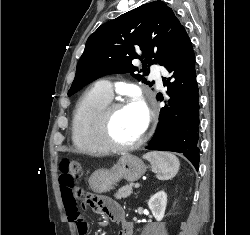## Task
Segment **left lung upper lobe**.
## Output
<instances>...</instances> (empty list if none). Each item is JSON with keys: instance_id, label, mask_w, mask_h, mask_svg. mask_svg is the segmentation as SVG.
<instances>
[{"instance_id": "1", "label": "left lung upper lobe", "mask_w": 250, "mask_h": 235, "mask_svg": "<svg viewBox=\"0 0 250 235\" xmlns=\"http://www.w3.org/2000/svg\"><path fill=\"white\" fill-rule=\"evenodd\" d=\"M183 28L173 10L162 1L143 4L102 24L86 42L68 96L113 73L130 72L152 86L144 78L149 74L147 65L164 64ZM134 59L142 61L140 71L144 75L133 73L138 71L131 63Z\"/></svg>"}]
</instances>
